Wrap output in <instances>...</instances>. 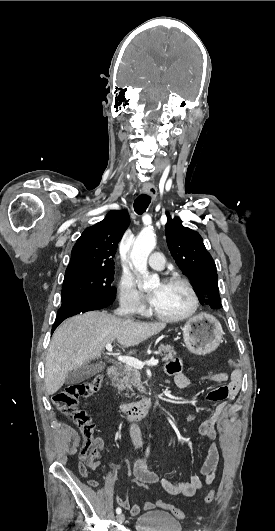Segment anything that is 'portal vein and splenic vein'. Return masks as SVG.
Instances as JSON below:
<instances>
[{
    "instance_id": "obj_1",
    "label": "portal vein and splenic vein",
    "mask_w": 275,
    "mask_h": 531,
    "mask_svg": "<svg viewBox=\"0 0 275 531\" xmlns=\"http://www.w3.org/2000/svg\"><path fill=\"white\" fill-rule=\"evenodd\" d=\"M106 349L109 351V353H112L113 347L111 343H107ZM116 359L117 361H120V363H125V365L134 367V369H143L144 365L153 367V365H158L159 363L158 359H150V361H145V363H142V361H139V359H134V357H122V355H119V357H116Z\"/></svg>"
}]
</instances>
